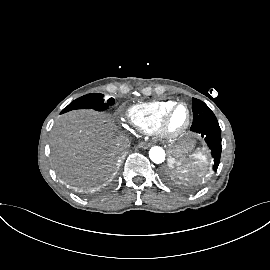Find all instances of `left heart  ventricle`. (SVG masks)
<instances>
[{"mask_svg":"<svg viewBox=\"0 0 270 270\" xmlns=\"http://www.w3.org/2000/svg\"><path fill=\"white\" fill-rule=\"evenodd\" d=\"M187 118L186 108L183 106L178 107L171 116L169 126L172 130L180 129L185 123Z\"/></svg>","mask_w":270,"mask_h":270,"instance_id":"left-heart-ventricle-1","label":"left heart ventricle"}]
</instances>
